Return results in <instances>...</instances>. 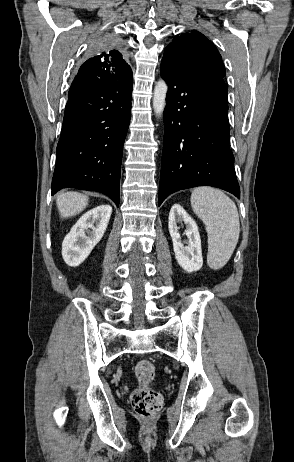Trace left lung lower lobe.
<instances>
[{"instance_id": "left-lung-lower-lobe-1", "label": "left lung lower lobe", "mask_w": 294, "mask_h": 462, "mask_svg": "<svg viewBox=\"0 0 294 462\" xmlns=\"http://www.w3.org/2000/svg\"><path fill=\"white\" fill-rule=\"evenodd\" d=\"M168 84L158 206L171 193L213 186L240 198L229 148L227 87L161 64Z\"/></svg>"}]
</instances>
